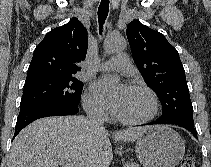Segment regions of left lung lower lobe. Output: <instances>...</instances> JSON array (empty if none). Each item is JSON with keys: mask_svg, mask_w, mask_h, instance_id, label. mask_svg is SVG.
I'll list each match as a JSON object with an SVG mask.
<instances>
[{"mask_svg": "<svg viewBox=\"0 0 211 167\" xmlns=\"http://www.w3.org/2000/svg\"><path fill=\"white\" fill-rule=\"evenodd\" d=\"M163 123L164 124H166V123L176 124V125H179L181 127H184L185 129L189 130L197 138V131L194 128V124H188V123H184V122H168V121H162L160 119H158L157 121L148 123V124L151 125V124H163Z\"/></svg>", "mask_w": 211, "mask_h": 167, "instance_id": "1", "label": "left lung lower lobe"}]
</instances>
